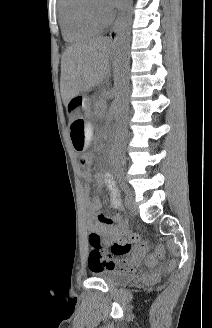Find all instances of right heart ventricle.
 <instances>
[{"label":"right heart ventricle","mask_w":212,"mask_h":328,"mask_svg":"<svg viewBox=\"0 0 212 328\" xmlns=\"http://www.w3.org/2000/svg\"><path fill=\"white\" fill-rule=\"evenodd\" d=\"M87 0H59L60 24L65 39L79 42L100 33L104 25L93 21L86 10Z\"/></svg>","instance_id":"right-heart-ventricle-1"}]
</instances>
